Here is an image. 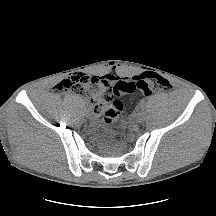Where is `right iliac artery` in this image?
I'll use <instances>...</instances> for the list:
<instances>
[{
  "label": "right iliac artery",
  "instance_id": "82829eb1",
  "mask_svg": "<svg viewBox=\"0 0 216 216\" xmlns=\"http://www.w3.org/2000/svg\"><path fill=\"white\" fill-rule=\"evenodd\" d=\"M83 111H85L87 113L89 111L88 106H83Z\"/></svg>",
  "mask_w": 216,
  "mask_h": 216
}]
</instances>
